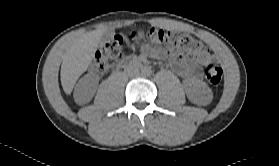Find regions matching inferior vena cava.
<instances>
[{
  "label": "inferior vena cava",
  "mask_w": 279,
  "mask_h": 166,
  "mask_svg": "<svg viewBox=\"0 0 279 166\" xmlns=\"http://www.w3.org/2000/svg\"><path fill=\"white\" fill-rule=\"evenodd\" d=\"M139 73V71L137 69H135L133 72H129V75H137Z\"/></svg>",
  "instance_id": "obj_1"
}]
</instances>
